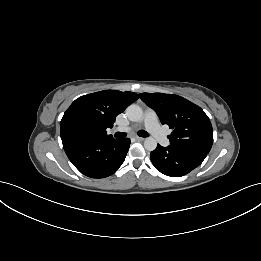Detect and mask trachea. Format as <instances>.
Segmentation results:
<instances>
[{"label": "trachea", "instance_id": "trachea-1", "mask_svg": "<svg viewBox=\"0 0 261 261\" xmlns=\"http://www.w3.org/2000/svg\"><path fill=\"white\" fill-rule=\"evenodd\" d=\"M138 135L140 137H147V136H149V134L146 131H144V130L139 131ZM114 136L117 139H123V138L126 137V133L116 132Z\"/></svg>", "mask_w": 261, "mask_h": 261}]
</instances>
